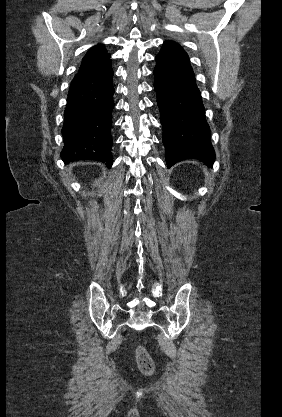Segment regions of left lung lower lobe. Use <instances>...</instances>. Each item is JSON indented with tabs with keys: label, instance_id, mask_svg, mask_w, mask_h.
Here are the masks:
<instances>
[{
	"label": "left lung lower lobe",
	"instance_id": "obj_1",
	"mask_svg": "<svg viewBox=\"0 0 282 417\" xmlns=\"http://www.w3.org/2000/svg\"><path fill=\"white\" fill-rule=\"evenodd\" d=\"M156 62L154 88L167 167L187 159H198L212 167L215 152L210 128L188 55L179 44L166 41Z\"/></svg>",
	"mask_w": 282,
	"mask_h": 417
}]
</instances>
